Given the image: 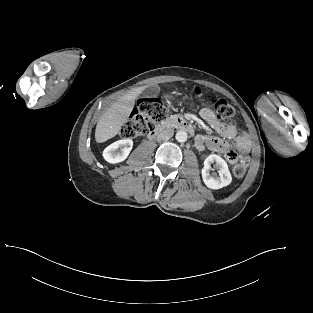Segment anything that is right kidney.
Wrapping results in <instances>:
<instances>
[{
    "instance_id": "obj_1",
    "label": "right kidney",
    "mask_w": 313,
    "mask_h": 313,
    "mask_svg": "<svg viewBox=\"0 0 313 313\" xmlns=\"http://www.w3.org/2000/svg\"><path fill=\"white\" fill-rule=\"evenodd\" d=\"M133 147V141L129 138L118 140L103 151V158L111 164H116L124 161Z\"/></svg>"
}]
</instances>
